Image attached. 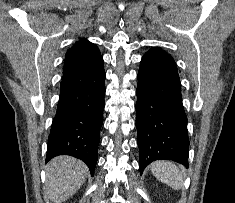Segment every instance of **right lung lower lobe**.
I'll list each match as a JSON object with an SVG mask.
<instances>
[{
	"instance_id": "right-lung-lower-lobe-1",
	"label": "right lung lower lobe",
	"mask_w": 235,
	"mask_h": 203,
	"mask_svg": "<svg viewBox=\"0 0 235 203\" xmlns=\"http://www.w3.org/2000/svg\"><path fill=\"white\" fill-rule=\"evenodd\" d=\"M104 82L101 55L82 68L63 75L46 162L58 155H70L84 161L94 175L103 123Z\"/></svg>"
}]
</instances>
